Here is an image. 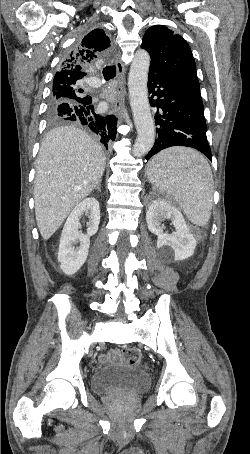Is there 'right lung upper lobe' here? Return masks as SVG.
Returning a JSON list of instances; mask_svg holds the SVG:
<instances>
[{"label": "right lung upper lobe", "instance_id": "cb5924a9", "mask_svg": "<svg viewBox=\"0 0 250 454\" xmlns=\"http://www.w3.org/2000/svg\"><path fill=\"white\" fill-rule=\"evenodd\" d=\"M109 46L110 40L104 30L91 31L64 57L60 70L54 76L53 85L77 83L86 75L82 69Z\"/></svg>", "mask_w": 250, "mask_h": 454}]
</instances>
